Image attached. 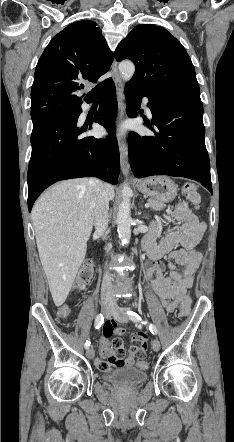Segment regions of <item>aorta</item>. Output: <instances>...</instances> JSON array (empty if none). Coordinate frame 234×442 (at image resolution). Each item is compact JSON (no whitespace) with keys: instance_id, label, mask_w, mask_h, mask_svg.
Segmentation results:
<instances>
[{"instance_id":"aorta-1","label":"aorta","mask_w":234,"mask_h":442,"mask_svg":"<svg viewBox=\"0 0 234 442\" xmlns=\"http://www.w3.org/2000/svg\"><path fill=\"white\" fill-rule=\"evenodd\" d=\"M119 71L124 81H129L135 72L132 62L123 61L119 64ZM130 187L125 184L122 189V200L117 213V231L123 244H128L131 238V216H130Z\"/></svg>"}]
</instances>
